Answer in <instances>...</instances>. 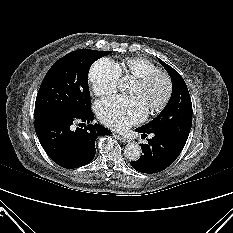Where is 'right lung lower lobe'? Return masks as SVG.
I'll return each mask as SVG.
<instances>
[{"mask_svg":"<svg viewBox=\"0 0 233 233\" xmlns=\"http://www.w3.org/2000/svg\"><path fill=\"white\" fill-rule=\"evenodd\" d=\"M91 108L76 114L48 116L35 119V131L47 155L59 166L73 169L90 163L95 156V140L111 131L100 124L72 130L76 121L90 123Z\"/></svg>","mask_w":233,"mask_h":233,"instance_id":"98d812e1","label":"right lung lower lobe"}]
</instances>
